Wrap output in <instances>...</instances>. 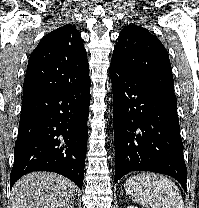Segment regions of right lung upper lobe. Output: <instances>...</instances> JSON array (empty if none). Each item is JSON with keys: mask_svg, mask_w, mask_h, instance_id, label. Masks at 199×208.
Instances as JSON below:
<instances>
[{"mask_svg": "<svg viewBox=\"0 0 199 208\" xmlns=\"http://www.w3.org/2000/svg\"><path fill=\"white\" fill-rule=\"evenodd\" d=\"M89 79L87 53L79 31L60 27L32 52L24 79L23 99L79 85Z\"/></svg>", "mask_w": 199, "mask_h": 208, "instance_id": "right-lung-upper-lobe-1", "label": "right lung upper lobe"}]
</instances>
